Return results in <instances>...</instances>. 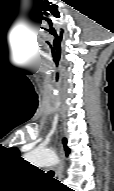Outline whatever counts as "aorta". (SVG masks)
Wrapping results in <instances>:
<instances>
[{"label": "aorta", "instance_id": "aorta-1", "mask_svg": "<svg viewBox=\"0 0 114 191\" xmlns=\"http://www.w3.org/2000/svg\"><path fill=\"white\" fill-rule=\"evenodd\" d=\"M25 158L38 167L56 165L59 162L58 156L50 150L35 149L27 153Z\"/></svg>", "mask_w": 114, "mask_h": 191}]
</instances>
